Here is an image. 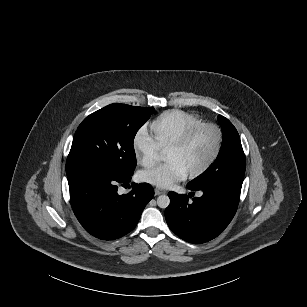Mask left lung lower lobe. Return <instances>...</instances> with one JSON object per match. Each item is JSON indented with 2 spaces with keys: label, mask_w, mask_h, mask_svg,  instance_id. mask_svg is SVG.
Returning <instances> with one entry per match:
<instances>
[{
  "label": "left lung lower lobe",
  "mask_w": 307,
  "mask_h": 307,
  "mask_svg": "<svg viewBox=\"0 0 307 307\" xmlns=\"http://www.w3.org/2000/svg\"><path fill=\"white\" fill-rule=\"evenodd\" d=\"M198 190L203 195L193 198V202L188 198L193 196L190 195L193 192L188 196L169 192L170 205L165 210L169 228L183 240L194 244L217 237L234 217L240 198V191L225 186Z\"/></svg>",
  "instance_id": "0a47b994"
}]
</instances>
